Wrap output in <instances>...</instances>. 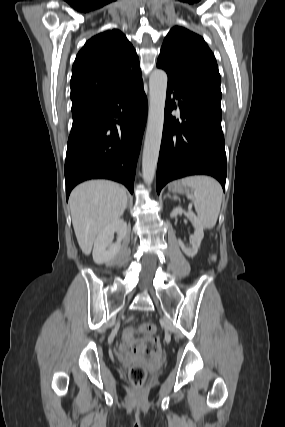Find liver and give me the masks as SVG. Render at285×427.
<instances>
[{
  "label": "liver",
  "instance_id": "6515ba94",
  "mask_svg": "<svg viewBox=\"0 0 285 427\" xmlns=\"http://www.w3.org/2000/svg\"><path fill=\"white\" fill-rule=\"evenodd\" d=\"M69 202L78 244L89 255L97 234L124 213L127 194L115 182L91 180L74 188Z\"/></svg>",
  "mask_w": 285,
  "mask_h": 427
}]
</instances>
